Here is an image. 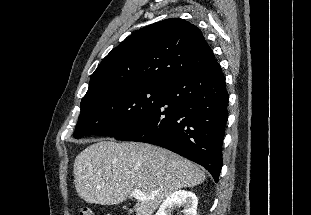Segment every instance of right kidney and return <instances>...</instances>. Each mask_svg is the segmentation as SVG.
I'll return each instance as SVG.
<instances>
[{"mask_svg":"<svg viewBox=\"0 0 311 215\" xmlns=\"http://www.w3.org/2000/svg\"><path fill=\"white\" fill-rule=\"evenodd\" d=\"M198 199L191 191L178 190L170 194L155 215H168L174 208L183 207L184 215H197Z\"/></svg>","mask_w":311,"mask_h":215,"instance_id":"obj_1","label":"right kidney"}]
</instances>
